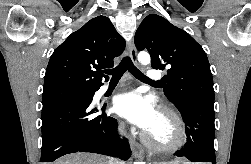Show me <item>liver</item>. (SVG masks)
<instances>
[{
    "mask_svg": "<svg viewBox=\"0 0 251 164\" xmlns=\"http://www.w3.org/2000/svg\"><path fill=\"white\" fill-rule=\"evenodd\" d=\"M112 160L91 153H75L62 157L53 164H111ZM122 164V163H118Z\"/></svg>",
    "mask_w": 251,
    "mask_h": 164,
    "instance_id": "6515ba94",
    "label": "liver"
}]
</instances>
